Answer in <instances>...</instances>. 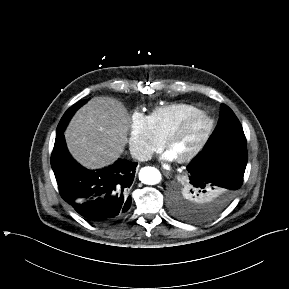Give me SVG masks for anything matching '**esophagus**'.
I'll return each instance as SVG.
<instances>
[{
	"label": "esophagus",
	"instance_id": "obj_1",
	"mask_svg": "<svg viewBox=\"0 0 289 289\" xmlns=\"http://www.w3.org/2000/svg\"><path fill=\"white\" fill-rule=\"evenodd\" d=\"M163 174H164L167 178L171 177V173H170L169 171H163Z\"/></svg>",
	"mask_w": 289,
	"mask_h": 289
}]
</instances>
